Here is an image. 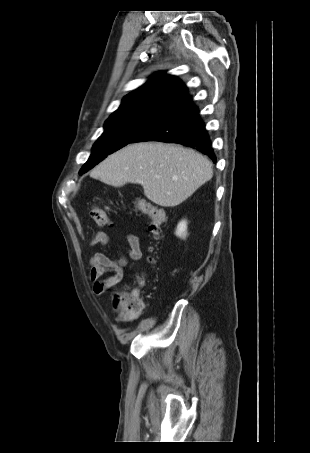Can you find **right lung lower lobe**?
Here are the masks:
<instances>
[{"label":"right lung lower lobe","mask_w":310,"mask_h":453,"mask_svg":"<svg viewBox=\"0 0 310 453\" xmlns=\"http://www.w3.org/2000/svg\"><path fill=\"white\" fill-rule=\"evenodd\" d=\"M141 141L178 143L196 149L216 162L211 140L199 109L193 104L192 97L189 95L168 108L133 142Z\"/></svg>","instance_id":"1"}]
</instances>
